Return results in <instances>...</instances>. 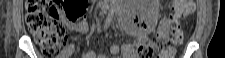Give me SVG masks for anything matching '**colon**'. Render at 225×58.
<instances>
[{
  "instance_id": "1",
  "label": "colon",
  "mask_w": 225,
  "mask_h": 58,
  "mask_svg": "<svg viewBox=\"0 0 225 58\" xmlns=\"http://www.w3.org/2000/svg\"><path fill=\"white\" fill-rule=\"evenodd\" d=\"M64 5V15L69 21H76L86 13V1L76 0L58 2L56 0H28L26 4V25L36 40L44 55L57 56L67 42L64 23L60 20L61 7ZM193 12L191 0H174L171 18L159 28L157 37L152 43L138 45L135 50L136 58H149L160 52L168 55L174 46L182 39L179 21Z\"/></svg>"
}]
</instances>
